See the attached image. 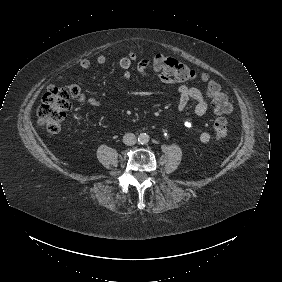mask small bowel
I'll return each instance as SVG.
<instances>
[{
    "mask_svg": "<svg viewBox=\"0 0 282 282\" xmlns=\"http://www.w3.org/2000/svg\"><path fill=\"white\" fill-rule=\"evenodd\" d=\"M96 63L98 65H103L106 63V57L104 55H99L96 58ZM133 64H136V68L138 73L146 78L154 79L160 81L165 84L172 85L176 88L179 94L178 100V109L179 111H185L188 107L190 101L195 102L194 113L197 116L205 115L210 109V103L208 99L205 97L203 92L195 87L188 86L171 76L165 75L157 70L151 71L150 66L152 64V60L150 58H142L139 59L137 54L134 52H129L126 56L122 57L119 60V66L123 71L122 77L126 81H130L132 79V73L130 68ZM91 66V62L84 58L79 62V68L82 70H86ZM64 74H60L56 77V81L62 80ZM88 103L92 106H96L99 104V101L91 97L88 99ZM211 136L209 132L202 131L199 134V140L203 144L209 143Z\"/></svg>",
    "mask_w": 282,
    "mask_h": 282,
    "instance_id": "obj_1",
    "label": "small bowel"
}]
</instances>
